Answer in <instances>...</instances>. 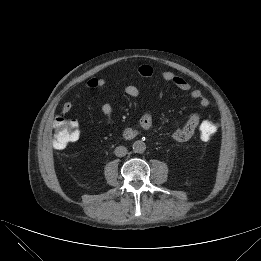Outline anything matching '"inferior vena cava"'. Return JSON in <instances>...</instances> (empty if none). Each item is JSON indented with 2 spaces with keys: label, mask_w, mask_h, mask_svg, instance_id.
<instances>
[{
  "label": "inferior vena cava",
  "mask_w": 261,
  "mask_h": 261,
  "mask_svg": "<svg viewBox=\"0 0 261 261\" xmlns=\"http://www.w3.org/2000/svg\"><path fill=\"white\" fill-rule=\"evenodd\" d=\"M114 153L117 157H123L127 154V148L125 146H118L115 148Z\"/></svg>",
  "instance_id": "602c4592"
}]
</instances>
